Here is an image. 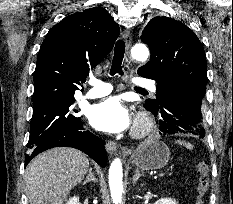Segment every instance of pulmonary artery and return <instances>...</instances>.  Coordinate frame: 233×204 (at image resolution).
Instances as JSON below:
<instances>
[{
	"mask_svg": "<svg viewBox=\"0 0 233 204\" xmlns=\"http://www.w3.org/2000/svg\"><path fill=\"white\" fill-rule=\"evenodd\" d=\"M90 84L92 85V88L87 91V93L85 94V98L93 99L103 97L110 94L112 91L111 84L100 81L98 79H91ZM133 84L136 87L147 88L151 91H156V86L154 82L143 77L134 78Z\"/></svg>",
	"mask_w": 233,
	"mask_h": 204,
	"instance_id": "1",
	"label": "pulmonary artery"
}]
</instances>
